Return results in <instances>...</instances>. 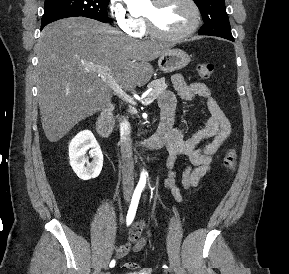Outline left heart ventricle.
Returning <instances> with one entry per match:
<instances>
[{
    "mask_svg": "<svg viewBox=\"0 0 289 274\" xmlns=\"http://www.w3.org/2000/svg\"><path fill=\"white\" fill-rule=\"evenodd\" d=\"M144 15L151 17L158 29L168 34L183 32L193 21L192 8L185 0H169L158 7L152 2Z\"/></svg>",
    "mask_w": 289,
    "mask_h": 274,
    "instance_id": "1",
    "label": "left heart ventricle"
}]
</instances>
